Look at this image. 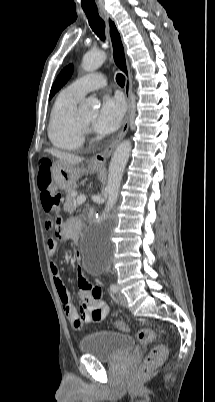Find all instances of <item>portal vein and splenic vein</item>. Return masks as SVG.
Masks as SVG:
<instances>
[{
    "mask_svg": "<svg viewBox=\"0 0 215 402\" xmlns=\"http://www.w3.org/2000/svg\"><path fill=\"white\" fill-rule=\"evenodd\" d=\"M85 200H86L85 195H80V196L77 197L76 202H77L78 205H81V204H83L85 202Z\"/></svg>",
    "mask_w": 215,
    "mask_h": 402,
    "instance_id": "portal-vein-and-splenic-vein-1",
    "label": "portal vein and splenic vein"
}]
</instances>
